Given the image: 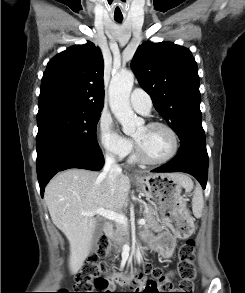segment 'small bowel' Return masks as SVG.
I'll return each mask as SVG.
<instances>
[{
    "mask_svg": "<svg viewBox=\"0 0 245 293\" xmlns=\"http://www.w3.org/2000/svg\"><path fill=\"white\" fill-rule=\"evenodd\" d=\"M175 242V237L169 231L163 232L159 235V244L157 246V250L163 259H168L172 256L175 248ZM173 276L174 272L168 274L164 280L165 284H169ZM112 279L117 283H122L116 274L112 275Z\"/></svg>",
    "mask_w": 245,
    "mask_h": 293,
    "instance_id": "obj_1",
    "label": "small bowel"
}]
</instances>
